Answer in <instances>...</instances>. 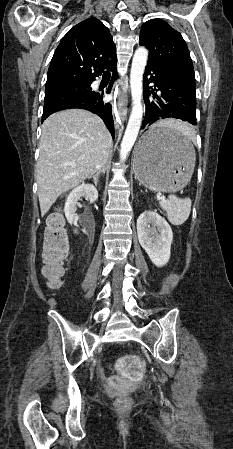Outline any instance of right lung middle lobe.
<instances>
[{"mask_svg":"<svg viewBox=\"0 0 233 449\" xmlns=\"http://www.w3.org/2000/svg\"><path fill=\"white\" fill-rule=\"evenodd\" d=\"M93 93L90 84L67 85L47 90L45 92L44 110L70 101L87 98Z\"/></svg>","mask_w":233,"mask_h":449,"instance_id":"right-lung-middle-lobe-1","label":"right lung middle lobe"}]
</instances>
